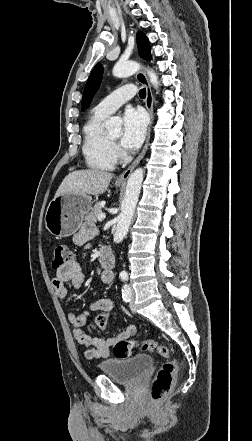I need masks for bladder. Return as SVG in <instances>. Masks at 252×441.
I'll return each mask as SVG.
<instances>
[{"mask_svg": "<svg viewBox=\"0 0 252 441\" xmlns=\"http://www.w3.org/2000/svg\"><path fill=\"white\" fill-rule=\"evenodd\" d=\"M152 366L153 358L146 354L108 359L98 365L103 374L117 382L126 384L139 381Z\"/></svg>", "mask_w": 252, "mask_h": 441, "instance_id": "31cf9c89", "label": "bladder"}]
</instances>
